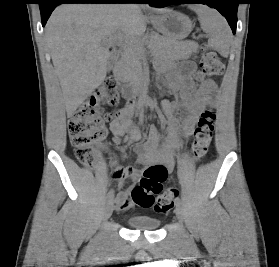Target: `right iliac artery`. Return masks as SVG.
<instances>
[{
    "label": "right iliac artery",
    "instance_id": "right-iliac-artery-1",
    "mask_svg": "<svg viewBox=\"0 0 279 267\" xmlns=\"http://www.w3.org/2000/svg\"><path fill=\"white\" fill-rule=\"evenodd\" d=\"M113 197H114V191L110 190L109 193L107 194L108 201H112Z\"/></svg>",
    "mask_w": 279,
    "mask_h": 267
}]
</instances>
